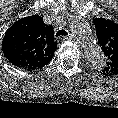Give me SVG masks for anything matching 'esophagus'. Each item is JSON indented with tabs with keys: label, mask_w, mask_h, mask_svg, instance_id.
<instances>
[{
	"label": "esophagus",
	"mask_w": 118,
	"mask_h": 118,
	"mask_svg": "<svg viewBox=\"0 0 118 118\" xmlns=\"http://www.w3.org/2000/svg\"><path fill=\"white\" fill-rule=\"evenodd\" d=\"M64 40H70V39H74V40H76V38L74 37V36H65L64 38H63Z\"/></svg>",
	"instance_id": "34e87169"
}]
</instances>
